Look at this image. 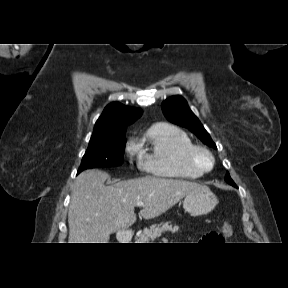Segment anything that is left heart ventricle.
<instances>
[{"label":"left heart ventricle","instance_id":"b2bd125f","mask_svg":"<svg viewBox=\"0 0 288 288\" xmlns=\"http://www.w3.org/2000/svg\"><path fill=\"white\" fill-rule=\"evenodd\" d=\"M199 159H200L201 163L204 164L205 166L209 165V159L206 155H203V154L200 155Z\"/></svg>","mask_w":288,"mask_h":288}]
</instances>
